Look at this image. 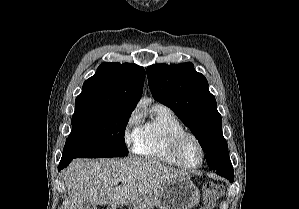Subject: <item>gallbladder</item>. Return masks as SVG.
<instances>
[{"label":"gallbladder","mask_w":299,"mask_h":209,"mask_svg":"<svg viewBox=\"0 0 299 209\" xmlns=\"http://www.w3.org/2000/svg\"><path fill=\"white\" fill-rule=\"evenodd\" d=\"M81 209H97L96 205L92 204L91 202H84L82 204Z\"/></svg>","instance_id":"gallbladder-1"}]
</instances>
